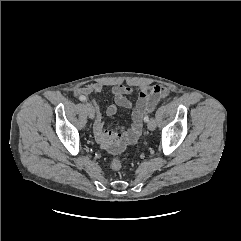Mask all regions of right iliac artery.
I'll return each mask as SVG.
<instances>
[{"label": "right iliac artery", "instance_id": "82829eb1", "mask_svg": "<svg viewBox=\"0 0 241 241\" xmlns=\"http://www.w3.org/2000/svg\"><path fill=\"white\" fill-rule=\"evenodd\" d=\"M79 99H80L81 101H86V100H87V98L84 97V96H81Z\"/></svg>", "mask_w": 241, "mask_h": 241}]
</instances>
